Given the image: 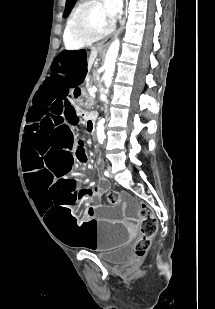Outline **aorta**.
<instances>
[{
    "label": "aorta",
    "instance_id": "obj_1",
    "mask_svg": "<svg viewBox=\"0 0 215 309\" xmlns=\"http://www.w3.org/2000/svg\"><path fill=\"white\" fill-rule=\"evenodd\" d=\"M119 46H120V40L119 38H115V40L111 42L107 50L105 64H104L105 72L102 76L106 88H109V86H111L112 84V76L115 70V62H116V56L118 54ZM96 130H97L98 142H100V144H103L104 138H105V132H104V124L103 122H101V120H98Z\"/></svg>",
    "mask_w": 215,
    "mask_h": 309
}]
</instances>
